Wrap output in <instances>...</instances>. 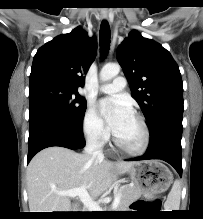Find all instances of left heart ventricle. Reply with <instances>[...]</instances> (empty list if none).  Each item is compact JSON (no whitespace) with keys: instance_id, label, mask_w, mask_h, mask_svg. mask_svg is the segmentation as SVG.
Wrapping results in <instances>:
<instances>
[{"instance_id":"b2bd125f","label":"left heart ventricle","mask_w":203,"mask_h":219,"mask_svg":"<svg viewBox=\"0 0 203 219\" xmlns=\"http://www.w3.org/2000/svg\"><path fill=\"white\" fill-rule=\"evenodd\" d=\"M114 134L121 143L130 148L138 147L143 139L142 128L133 115L127 118Z\"/></svg>"}]
</instances>
